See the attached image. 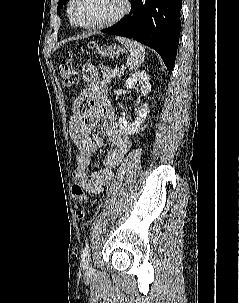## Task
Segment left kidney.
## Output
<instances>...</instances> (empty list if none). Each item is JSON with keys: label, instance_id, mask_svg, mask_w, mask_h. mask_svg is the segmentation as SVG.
<instances>
[{"label": "left kidney", "instance_id": "left-kidney-1", "mask_svg": "<svg viewBox=\"0 0 239 303\" xmlns=\"http://www.w3.org/2000/svg\"><path fill=\"white\" fill-rule=\"evenodd\" d=\"M140 87L141 93L147 96L151 91V84L149 82V77L145 71H137L131 75L125 82V86L128 89L135 88V86ZM148 114V104L145 103L142 108L137 112V116L134 122H129L125 117L119 118V124L121 128L127 134H134L139 129L140 125L145 121Z\"/></svg>", "mask_w": 239, "mask_h": 303}]
</instances>
